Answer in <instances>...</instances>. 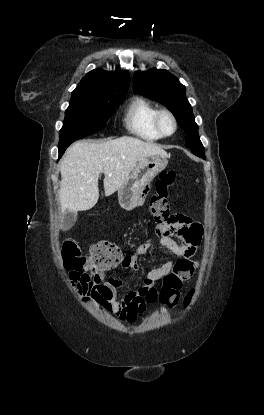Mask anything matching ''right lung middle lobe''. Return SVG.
<instances>
[{
  "mask_svg": "<svg viewBox=\"0 0 264 415\" xmlns=\"http://www.w3.org/2000/svg\"><path fill=\"white\" fill-rule=\"evenodd\" d=\"M123 98L124 95L71 98L60 130L59 150L103 129Z\"/></svg>",
  "mask_w": 264,
  "mask_h": 415,
  "instance_id": "dd1d6c3e",
  "label": "right lung middle lobe"
}]
</instances>
